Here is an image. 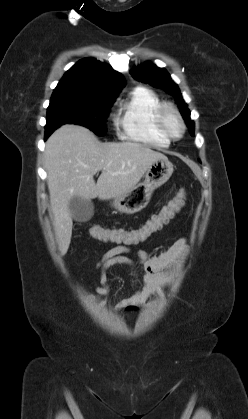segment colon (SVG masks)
Returning <instances> with one entry per match:
<instances>
[{
  "label": "colon",
  "instance_id": "colon-1",
  "mask_svg": "<svg viewBox=\"0 0 248 419\" xmlns=\"http://www.w3.org/2000/svg\"><path fill=\"white\" fill-rule=\"evenodd\" d=\"M185 199L186 192L184 189H180L166 206L145 223L144 229L136 235H128L122 230L98 226L91 229V235L95 239L103 242H131L136 237L144 236L161 229L163 225L167 224L180 211L184 205Z\"/></svg>",
  "mask_w": 248,
  "mask_h": 419
}]
</instances>
